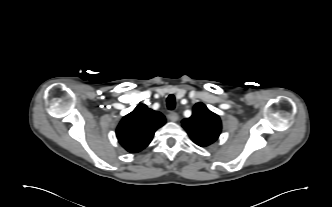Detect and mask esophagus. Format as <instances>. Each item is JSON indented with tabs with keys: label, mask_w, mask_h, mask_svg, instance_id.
I'll return each instance as SVG.
<instances>
[{
	"label": "esophagus",
	"mask_w": 332,
	"mask_h": 207,
	"mask_svg": "<svg viewBox=\"0 0 332 207\" xmlns=\"http://www.w3.org/2000/svg\"><path fill=\"white\" fill-rule=\"evenodd\" d=\"M168 119L170 121L176 122L179 119V116H178V114L176 112H170L168 114Z\"/></svg>",
	"instance_id": "obj_1"
}]
</instances>
